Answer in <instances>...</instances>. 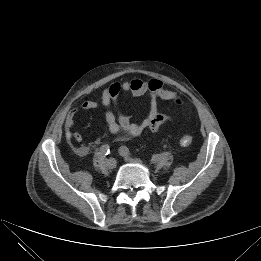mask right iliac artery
Wrapping results in <instances>:
<instances>
[{"instance_id":"82829eb1","label":"right iliac artery","mask_w":261,"mask_h":261,"mask_svg":"<svg viewBox=\"0 0 261 261\" xmlns=\"http://www.w3.org/2000/svg\"><path fill=\"white\" fill-rule=\"evenodd\" d=\"M100 153L104 156L108 155L110 153V146L108 144H104L100 148Z\"/></svg>"}]
</instances>
